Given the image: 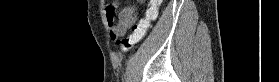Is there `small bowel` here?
<instances>
[{
  "mask_svg": "<svg viewBox=\"0 0 279 82\" xmlns=\"http://www.w3.org/2000/svg\"><path fill=\"white\" fill-rule=\"evenodd\" d=\"M118 2H109L106 5V17L110 24L111 37L116 40L118 36L123 35L126 30L132 27L138 17L137 6H127L123 8L118 16L116 15V8Z\"/></svg>",
  "mask_w": 279,
  "mask_h": 82,
  "instance_id": "1",
  "label": "small bowel"
}]
</instances>
